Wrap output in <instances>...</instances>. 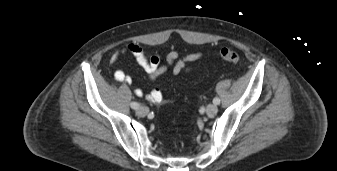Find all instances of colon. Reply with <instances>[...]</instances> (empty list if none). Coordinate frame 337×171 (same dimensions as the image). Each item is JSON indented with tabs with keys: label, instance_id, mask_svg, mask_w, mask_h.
<instances>
[{
	"label": "colon",
	"instance_id": "1",
	"mask_svg": "<svg viewBox=\"0 0 337 171\" xmlns=\"http://www.w3.org/2000/svg\"><path fill=\"white\" fill-rule=\"evenodd\" d=\"M219 56L222 60L237 63L240 60V55L237 51L230 48H223L219 52Z\"/></svg>",
	"mask_w": 337,
	"mask_h": 171
}]
</instances>
